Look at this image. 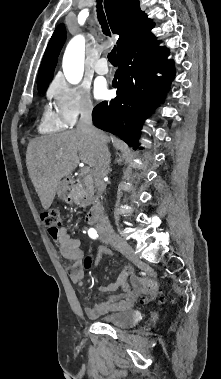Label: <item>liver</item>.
I'll return each mask as SVG.
<instances>
[{
  "mask_svg": "<svg viewBox=\"0 0 221 379\" xmlns=\"http://www.w3.org/2000/svg\"><path fill=\"white\" fill-rule=\"evenodd\" d=\"M103 141L107 144L110 139L103 134ZM98 145L94 136L77 129L29 142L27 169L44 210L51 206L61 179L71 175L80 161L95 166Z\"/></svg>",
  "mask_w": 221,
  "mask_h": 379,
  "instance_id": "6515ba94",
  "label": "liver"
}]
</instances>
